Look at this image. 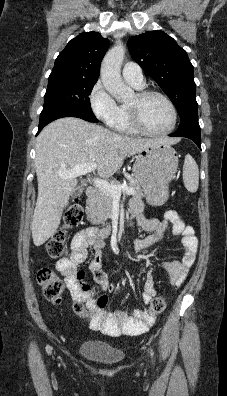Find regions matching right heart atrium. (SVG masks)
<instances>
[{"label":"right heart atrium","instance_id":"obj_1","mask_svg":"<svg viewBox=\"0 0 227 396\" xmlns=\"http://www.w3.org/2000/svg\"><path fill=\"white\" fill-rule=\"evenodd\" d=\"M90 108L100 121L110 124L116 117L119 105L106 90L101 80H98L89 93Z\"/></svg>","mask_w":227,"mask_h":396}]
</instances>
